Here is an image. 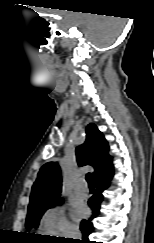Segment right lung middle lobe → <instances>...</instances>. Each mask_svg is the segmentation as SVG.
<instances>
[{"mask_svg":"<svg viewBox=\"0 0 154 243\" xmlns=\"http://www.w3.org/2000/svg\"><path fill=\"white\" fill-rule=\"evenodd\" d=\"M63 203V199H59V200H55L52 202H48L36 207H32V208H28V214H27V219H26V227L27 229H31V228H37L39 225V221L40 218L42 217V215L44 214V212L49 209L52 208L53 206H55L56 204H62ZM32 235V237L34 236V234H30ZM40 235H37V237L34 238H39Z\"/></svg>","mask_w":154,"mask_h":243,"instance_id":"1","label":"right lung middle lobe"}]
</instances>
